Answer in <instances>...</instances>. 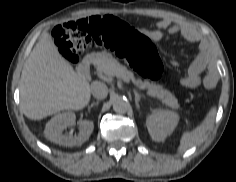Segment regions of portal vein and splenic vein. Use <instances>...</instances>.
<instances>
[{"label":"portal vein and splenic vein","instance_id":"18ae733b","mask_svg":"<svg viewBox=\"0 0 236 182\" xmlns=\"http://www.w3.org/2000/svg\"><path fill=\"white\" fill-rule=\"evenodd\" d=\"M125 82H129L130 81V79L129 78H127V77H121Z\"/></svg>","mask_w":236,"mask_h":182}]
</instances>
